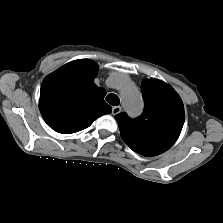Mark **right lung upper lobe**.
Instances as JSON below:
<instances>
[{
	"instance_id": "1",
	"label": "right lung upper lobe",
	"mask_w": 223,
	"mask_h": 223,
	"mask_svg": "<svg viewBox=\"0 0 223 223\" xmlns=\"http://www.w3.org/2000/svg\"><path fill=\"white\" fill-rule=\"evenodd\" d=\"M97 71L93 61L80 59L44 79L39 108L51 128L63 134L75 133L111 113L112 107L104 101L105 90L94 84Z\"/></svg>"
}]
</instances>
